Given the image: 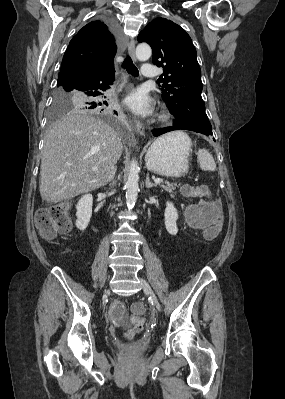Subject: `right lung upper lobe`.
Returning <instances> with one entry per match:
<instances>
[{
  "label": "right lung upper lobe",
  "instance_id": "obj_1",
  "mask_svg": "<svg viewBox=\"0 0 285 399\" xmlns=\"http://www.w3.org/2000/svg\"><path fill=\"white\" fill-rule=\"evenodd\" d=\"M116 35L106 21L85 25L70 41L63 56L57 86H64L83 72H113Z\"/></svg>",
  "mask_w": 285,
  "mask_h": 399
}]
</instances>
